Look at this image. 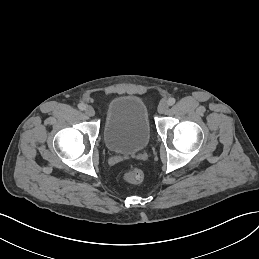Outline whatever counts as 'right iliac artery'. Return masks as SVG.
Here are the masks:
<instances>
[{
	"label": "right iliac artery",
	"mask_w": 259,
	"mask_h": 259,
	"mask_svg": "<svg viewBox=\"0 0 259 259\" xmlns=\"http://www.w3.org/2000/svg\"><path fill=\"white\" fill-rule=\"evenodd\" d=\"M78 108L83 111V110L86 109V105H85L84 103H80V104L78 105Z\"/></svg>",
	"instance_id": "right-iliac-artery-1"
}]
</instances>
